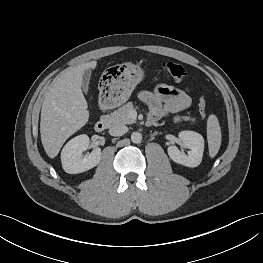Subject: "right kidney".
I'll return each mask as SVG.
<instances>
[{
  "instance_id": "ca27d5eb",
  "label": "right kidney",
  "mask_w": 263,
  "mask_h": 263,
  "mask_svg": "<svg viewBox=\"0 0 263 263\" xmlns=\"http://www.w3.org/2000/svg\"><path fill=\"white\" fill-rule=\"evenodd\" d=\"M89 137L85 134L71 139L61 153L62 167L69 174L82 173L97 166L101 160V149L95 148L89 155L82 152L89 146Z\"/></svg>"
}]
</instances>
